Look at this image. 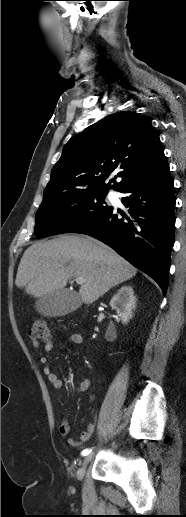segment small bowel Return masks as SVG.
I'll return each mask as SVG.
<instances>
[{
	"mask_svg": "<svg viewBox=\"0 0 186 517\" xmlns=\"http://www.w3.org/2000/svg\"><path fill=\"white\" fill-rule=\"evenodd\" d=\"M68 340L73 345H81L83 342V338H82L81 334H79V333H71L68 337ZM31 345H32V348L38 353L37 358H38L39 362L45 364L46 358H45L43 352L40 351L39 342L35 339H32ZM52 347H53V344L48 343L45 345L44 350L46 352H48L52 349ZM43 372L47 375L49 382L51 383L52 387L55 390H60L62 388L63 383H62L60 377L56 373L52 372L51 368L48 365H45L43 367ZM90 384H91L90 380L85 379L80 384H78L75 389L77 392H84L89 389ZM90 400L91 401L93 400L92 395L90 396ZM95 429H96V425L94 423H89L86 426L85 430L82 431L80 438L79 439L68 438V444L71 447L81 446L82 443L88 441L92 437L93 433L95 432ZM59 431H60L61 435H63L64 437H67L69 435L70 422H69L68 416L63 417L60 427H59Z\"/></svg>",
	"mask_w": 186,
	"mask_h": 517,
	"instance_id": "1",
	"label": "small bowel"
}]
</instances>
